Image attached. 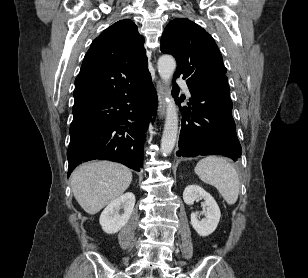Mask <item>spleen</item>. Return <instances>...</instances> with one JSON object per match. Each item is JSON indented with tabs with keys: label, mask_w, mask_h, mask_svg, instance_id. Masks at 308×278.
Segmentation results:
<instances>
[{
	"label": "spleen",
	"mask_w": 308,
	"mask_h": 278,
	"mask_svg": "<svg viewBox=\"0 0 308 278\" xmlns=\"http://www.w3.org/2000/svg\"><path fill=\"white\" fill-rule=\"evenodd\" d=\"M194 171L204 183L214 186L229 205L236 203L240 180L234 166L225 158L207 156L197 163Z\"/></svg>",
	"instance_id": "spleen-1"
}]
</instances>
